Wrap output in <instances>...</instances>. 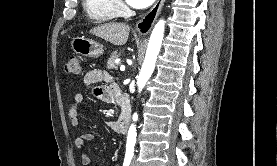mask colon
I'll return each mask as SVG.
<instances>
[{"mask_svg":"<svg viewBox=\"0 0 277 166\" xmlns=\"http://www.w3.org/2000/svg\"><path fill=\"white\" fill-rule=\"evenodd\" d=\"M66 73L80 75L82 73L81 59L78 55H71L64 65Z\"/></svg>","mask_w":277,"mask_h":166,"instance_id":"colon-1","label":"colon"}]
</instances>
